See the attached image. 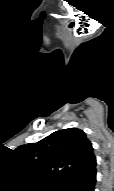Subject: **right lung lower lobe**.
I'll list each match as a JSON object with an SVG mask.
<instances>
[{
	"mask_svg": "<svg viewBox=\"0 0 114 191\" xmlns=\"http://www.w3.org/2000/svg\"><path fill=\"white\" fill-rule=\"evenodd\" d=\"M95 183L96 169L64 183L56 191H94Z\"/></svg>",
	"mask_w": 114,
	"mask_h": 191,
	"instance_id": "right-lung-lower-lobe-1",
	"label": "right lung lower lobe"
}]
</instances>
